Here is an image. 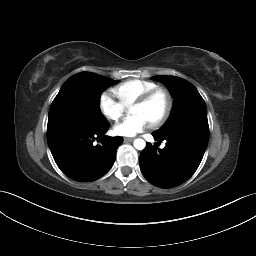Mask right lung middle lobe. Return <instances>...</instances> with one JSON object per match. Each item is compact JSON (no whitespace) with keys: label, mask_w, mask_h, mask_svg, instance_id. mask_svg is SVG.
Masks as SVG:
<instances>
[{"label":"right lung middle lobe","mask_w":256,"mask_h":256,"mask_svg":"<svg viewBox=\"0 0 256 256\" xmlns=\"http://www.w3.org/2000/svg\"><path fill=\"white\" fill-rule=\"evenodd\" d=\"M117 82L89 72L73 75L51 104L48 126L73 124L89 130L107 126L108 121L100 111V95Z\"/></svg>","instance_id":"right-lung-middle-lobe-1"}]
</instances>
